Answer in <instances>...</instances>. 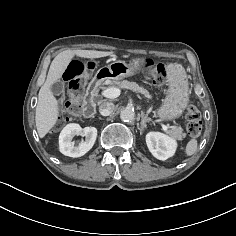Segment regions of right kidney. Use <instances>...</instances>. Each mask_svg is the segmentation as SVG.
Masks as SVG:
<instances>
[{"label": "right kidney", "mask_w": 236, "mask_h": 236, "mask_svg": "<svg viewBox=\"0 0 236 236\" xmlns=\"http://www.w3.org/2000/svg\"><path fill=\"white\" fill-rule=\"evenodd\" d=\"M76 135L85 137L78 146L73 143ZM97 137V129L95 127H80L79 124L71 123L66 125L59 135L60 152L69 157H81L85 155L94 145Z\"/></svg>", "instance_id": "ca27d5eb"}]
</instances>
